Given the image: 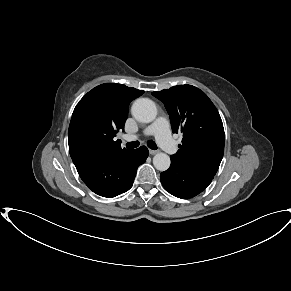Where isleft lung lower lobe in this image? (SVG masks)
Masks as SVG:
<instances>
[{
    "instance_id": "left-lung-lower-lobe-1",
    "label": "left lung lower lobe",
    "mask_w": 291,
    "mask_h": 291,
    "mask_svg": "<svg viewBox=\"0 0 291 291\" xmlns=\"http://www.w3.org/2000/svg\"><path fill=\"white\" fill-rule=\"evenodd\" d=\"M164 188L172 195L187 199L201 193L212 181L213 177L195 173L174 159L170 168L160 175Z\"/></svg>"
}]
</instances>
